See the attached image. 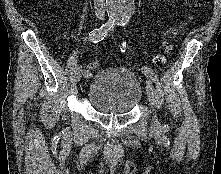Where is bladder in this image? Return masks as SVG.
<instances>
[{"label": "bladder", "instance_id": "obj_1", "mask_svg": "<svg viewBox=\"0 0 221 174\" xmlns=\"http://www.w3.org/2000/svg\"><path fill=\"white\" fill-rule=\"evenodd\" d=\"M142 98V86L136 75L121 66L99 70L92 78L87 99L94 109L104 114L131 112Z\"/></svg>", "mask_w": 221, "mask_h": 174}]
</instances>
